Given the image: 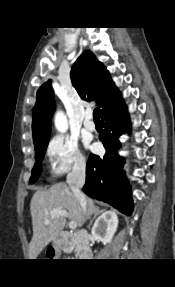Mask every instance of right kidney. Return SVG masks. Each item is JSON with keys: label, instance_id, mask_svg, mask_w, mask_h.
<instances>
[{"label": "right kidney", "instance_id": "right-kidney-1", "mask_svg": "<svg viewBox=\"0 0 175 287\" xmlns=\"http://www.w3.org/2000/svg\"><path fill=\"white\" fill-rule=\"evenodd\" d=\"M117 226L118 217L116 213L106 211L95 221L92 227V235L105 244L110 243L117 230Z\"/></svg>", "mask_w": 175, "mask_h": 287}]
</instances>
